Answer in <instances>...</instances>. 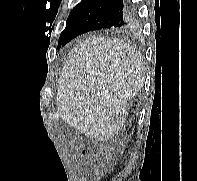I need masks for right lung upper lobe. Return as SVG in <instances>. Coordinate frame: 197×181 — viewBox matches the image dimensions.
Wrapping results in <instances>:
<instances>
[{
    "instance_id": "1",
    "label": "right lung upper lobe",
    "mask_w": 197,
    "mask_h": 181,
    "mask_svg": "<svg viewBox=\"0 0 197 181\" xmlns=\"http://www.w3.org/2000/svg\"><path fill=\"white\" fill-rule=\"evenodd\" d=\"M97 0H82L78 5L75 6L74 9L78 10H86L90 5H92L94 2H96ZM73 9V10H74ZM128 28L127 27H122V28H118V31H126Z\"/></svg>"
}]
</instances>
